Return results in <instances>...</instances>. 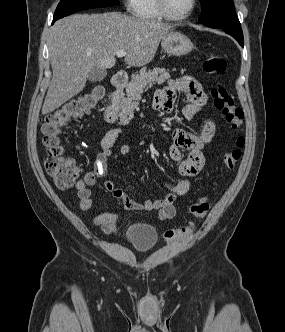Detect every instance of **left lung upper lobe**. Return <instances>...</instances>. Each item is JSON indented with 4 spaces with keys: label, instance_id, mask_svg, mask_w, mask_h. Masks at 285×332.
<instances>
[{
    "label": "left lung upper lobe",
    "instance_id": "5c2ea615",
    "mask_svg": "<svg viewBox=\"0 0 285 332\" xmlns=\"http://www.w3.org/2000/svg\"><path fill=\"white\" fill-rule=\"evenodd\" d=\"M202 14L199 21L212 28L241 27L234 10L233 0H200Z\"/></svg>",
    "mask_w": 285,
    "mask_h": 332
}]
</instances>
